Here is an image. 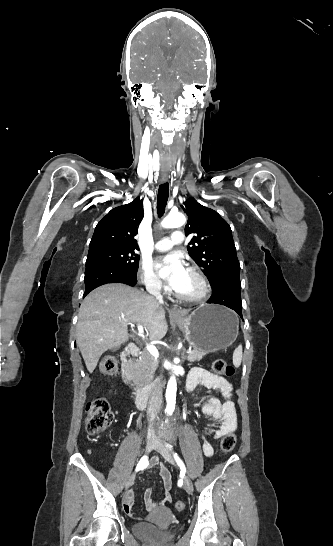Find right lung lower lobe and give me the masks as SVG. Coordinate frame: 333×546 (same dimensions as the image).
<instances>
[{"mask_svg": "<svg viewBox=\"0 0 333 546\" xmlns=\"http://www.w3.org/2000/svg\"><path fill=\"white\" fill-rule=\"evenodd\" d=\"M84 282L85 297L93 289L107 283H124L134 286L137 283V278L136 273L131 270L97 261L86 264Z\"/></svg>", "mask_w": 333, "mask_h": 546, "instance_id": "98d812e1", "label": "right lung lower lobe"}]
</instances>
